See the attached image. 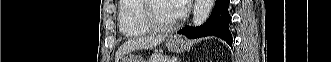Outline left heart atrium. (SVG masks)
I'll return each mask as SVG.
<instances>
[{
    "mask_svg": "<svg viewBox=\"0 0 331 62\" xmlns=\"http://www.w3.org/2000/svg\"><path fill=\"white\" fill-rule=\"evenodd\" d=\"M172 2L177 16L184 14L189 5V0H173Z\"/></svg>",
    "mask_w": 331,
    "mask_h": 62,
    "instance_id": "obj_1",
    "label": "left heart atrium"
}]
</instances>
